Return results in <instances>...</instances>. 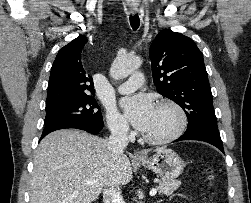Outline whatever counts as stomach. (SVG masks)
I'll return each mask as SVG.
<instances>
[{"label": "stomach", "instance_id": "obj_1", "mask_svg": "<svg viewBox=\"0 0 251 203\" xmlns=\"http://www.w3.org/2000/svg\"><path fill=\"white\" fill-rule=\"evenodd\" d=\"M137 163L164 179L177 178L185 166L184 161L176 152L165 148L157 151L152 157H147Z\"/></svg>", "mask_w": 251, "mask_h": 203}]
</instances>
